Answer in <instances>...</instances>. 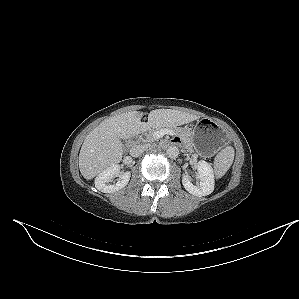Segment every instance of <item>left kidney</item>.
Instances as JSON below:
<instances>
[{"mask_svg":"<svg viewBox=\"0 0 299 299\" xmlns=\"http://www.w3.org/2000/svg\"><path fill=\"white\" fill-rule=\"evenodd\" d=\"M196 185L192 183V178L183 174L182 184L184 188L194 196L202 197L211 194L214 190V173L211 165L206 161H199L197 166Z\"/></svg>","mask_w":299,"mask_h":299,"instance_id":"1","label":"left kidney"}]
</instances>
